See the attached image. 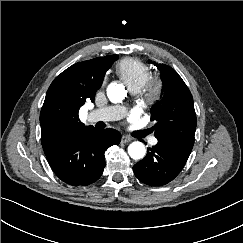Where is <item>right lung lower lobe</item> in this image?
Segmentation results:
<instances>
[{
  "label": "right lung lower lobe",
  "mask_w": 243,
  "mask_h": 243,
  "mask_svg": "<svg viewBox=\"0 0 243 243\" xmlns=\"http://www.w3.org/2000/svg\"><path fill=\"white\" fill-rule=\"evenodd\" d=\"M120 138L112 129L90 128L42 146L51 168L63 182L86 186L100 178L105 167L104 153L118 145Z\"/></svg>",
  "instance_id": "obj_1"
}]
</instances>
